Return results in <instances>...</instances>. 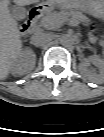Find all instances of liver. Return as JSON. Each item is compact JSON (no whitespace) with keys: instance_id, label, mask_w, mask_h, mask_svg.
Segmentation results:
<instances>
[{"instance_id":"1","label":"liver","mask_w":104,"mask_h":137,"mask_svg":"<svg viewBox=\"0 0 104 137\" xmlns=\"http://www.w3.org/2000/svg\"><path fill=\"white\" fill-rule=\"evenodd\" d=\"M1 0L0 11V77L5 79L9 73L13 61L19 55L22 48L20 31L17 21L8 8V1ZM18 6L30 5L39 0H13ZM59 6H65L78 0H49Z\"/></svg>"}]
</instances>
